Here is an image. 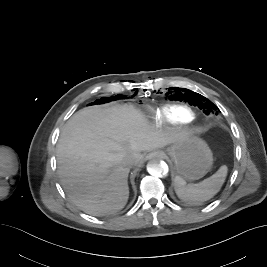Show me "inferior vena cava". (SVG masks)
I'll return each instance as SVG.
<instances>
[{"instance_id":"obj_1","label":"inferior vena cava","mask_w":267,"mask_h":267,"mask_svg":"<svg viewBox=\"0 0 267 267\" xmlns=\"http://www.w3.org/2000/svg\"><path fill=\"white\" fill-rule=\"evenodd\" d=\"M124 164L127 167L131 168L133 165H135V160L132 157L128 156V157L125 158Z\"/></svg>"}]
</instances>
